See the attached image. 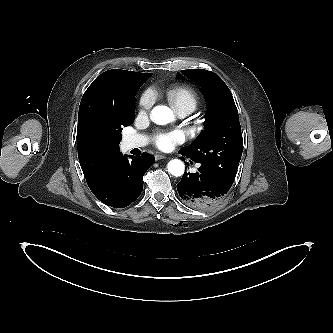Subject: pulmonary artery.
I'll return each instance as SVG.
<instances>
[{
  "label": "pulmonary artery",
  "mask_w": 333,
  "mask_h": 333,
  "mask_svg": "<svg viewBox=\"0 0 333 333\" xmlns=\"http://www.w3.org/2000/svg\"><path fill=\"white\" fill-rule=\"evenodd\" d=\"M191 113V111L188 110H182V111H178V114L181 117H185L187 115H189ZM126 146L129 149H133V148H140V147H144L147 144V138L143 135H129L126 137L125 140Z\"/></svg>",
  "instance_id": "1"
}]
</instances>
